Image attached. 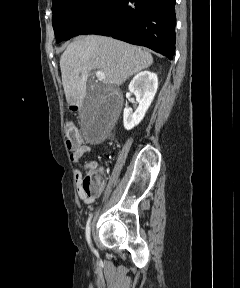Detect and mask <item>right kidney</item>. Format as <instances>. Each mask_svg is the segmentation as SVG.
Listing matches in <instances>:
<instances>
[{"label":"right kidney","mask_w":240,"mask_h":288,"mask_svg":"<svg viewBox=\"0 0 240 288\" xmlns=\"http://www.w3.org/2000/svg\"><path fill=\"white\" fill-rule=\"evenodd\" d=\"M157 88V75L150 71H142L132 79L129 84V91L135 95L139 106L134 113L129 108L124 109L123 123L126 130H131L144 118L154 99Z\"/></svg>","instance_id":"1"}]
</instances>
